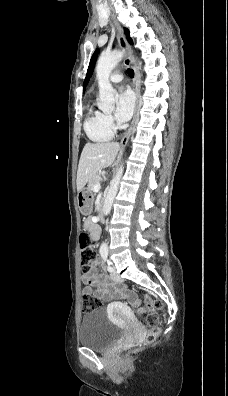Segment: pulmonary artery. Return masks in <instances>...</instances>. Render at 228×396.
I'll list each match as a JSON object with an SVG mask.
<instances>
[{
  "mask_svg": "<svg viewBox=\"0 0 228 396\" xmlns=\"http://www.w3.org/2000/svg\"><path fill=\"white\" fill-rule=\"evenodd\" d=\"M123 79V74L120 72H115L110 76V81L113 83H118L122 81Z\"/></svg>",
  "mask_w": 228,
  "mask_h": 396,
  "instance_id": "obj_1",
  "label": "pulmonary artery"
}]
</instances>
